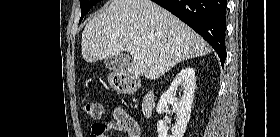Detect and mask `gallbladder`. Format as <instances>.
Segmentation results:
<instances>
[{
    "instance_id": "bac80fb5",
    "label": "gallbladder",
    "mask_w": 280,
    "mask_h": 137,
    "mask_svg": "<svg viewBox=\"0 0 280 137\" xmlns=\"http://www.w3.org/2000/svg\"><path fill=\"white\" fill-rule=\"evenodd\" d=\"M132 62L128 56L115 55L104 59V65L109 71L124 72L131 66Z\"/></svg>"
}]
</instances>
